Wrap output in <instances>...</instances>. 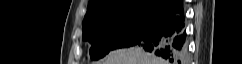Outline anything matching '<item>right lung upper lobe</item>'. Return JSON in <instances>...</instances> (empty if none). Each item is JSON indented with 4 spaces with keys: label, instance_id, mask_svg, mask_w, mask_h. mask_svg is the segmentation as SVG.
Listing matches in <instances>:
<instances>
[{
    "label": "right lung upper lobe",
    "instance_id": "cb5924a9",
    "mask_svg": "<svg viewBox=\"0 0 242 64\" xmlns=\"http://www.w3.org/2000/svg\"><path fill=\"white\" fill-rule=\"evenodd\" d=\"M175 0H90L83 24L101 16L136 9H147L163 14Z\"/></svg>",
    "mask_w": 242,
    "mask_h": 64
}]
</instances>
